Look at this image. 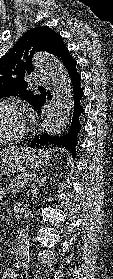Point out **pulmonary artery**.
<instances>
[{
	"instance_id": "pulmonary-artery-1",
	"label": "pulmonary artery",
	"mask_w": 113,
	"mask_h": 279,
	"mask_svg": "<svg viewBox=\"0 0 113 279\" xmlns=\"http://www.w3.org/2000/svg\"><path fill=\"white\" fill-rule=\"evenodd\" d=\"M35 80L38 84L41 85H47L49 83V78L44 75L37 76Z\"/></svg>"
}]
</instances>
